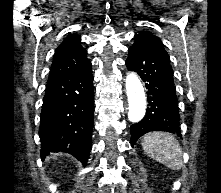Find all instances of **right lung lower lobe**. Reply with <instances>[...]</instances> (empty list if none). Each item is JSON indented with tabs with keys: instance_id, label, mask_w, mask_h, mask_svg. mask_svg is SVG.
<instances>
[{
	"instance_id": "right-lung-lower-lobe-1",
	"label": "right lung lower lobe",
	"mask_w": 221,
	"mask_h": 193,
	"mask_svg": "<svg viewBox=\"0 0 221 193\" xmlns=\"http://www.w3.org/2000/svg\"><path fill=\"white\" fill-rule=\"evenodd\" d=\"M93 112L90 61L73 73L49 78L40 114L41 158L61 151L85 166L91 149Z\"/></svg>"
}]
</instances>
